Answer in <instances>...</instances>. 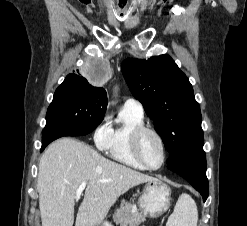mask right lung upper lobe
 I'll return each instance as SVG.
<instances>
[{"label":"right lung upper lobe","instance_id":"obj_1","mask_svg":"<svg viewBox=\"0 0 247 226\" xmlns=\"http://www.w3.org/2000/svg\"><path fill=\"white\" fill-rule=\"evenodd\" d=\"M63 83H68V84L75 86L76 88L88 91L96 95L97 97L103 99L107 103L106 91L102 87H95L91 85L87 81V79L84 78L83 76H80L78 74H73V73L69 74L67 75Z\"/></svg>","mask_w":247,"mask_h":226}]
</instances>
